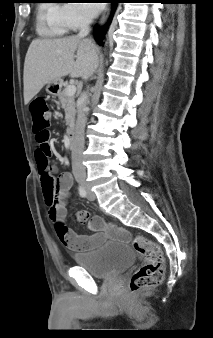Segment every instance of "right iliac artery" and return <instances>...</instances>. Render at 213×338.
Instances as JSON below:
<instances>
[{"instance_id": "1", "label": "right iliac artery", "mask_w": 213, "mask_h": 338, "mask_svg": "<svg viewBox=\"0 0 213 338\" xmlns=\"http://www.w3.org/2000/svg\"><path fill=\"white\" fill-rule=\"evenodd\" d=\"M78 191H79V195H80L81 197H86L87 192H86V190H85L83 187L79 186V187H78Z\"/></svg>"}]
</instances>
